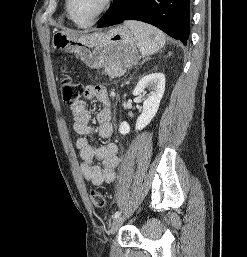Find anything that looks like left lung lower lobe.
I'll return each mask as SVG.
<instances>
[{
	"label": "left lung lower lobe",
	"instance_id": "left-lung-lower-lobe-1",
	"mask_svg": "<svg viewBox=\"0 0 247 257\" xmlns=\"http://www.w3.org/2000/svg\"><path fill=\"white\" fill-rule=\"evenodd\" d=\"M124 20L152 24L186 45L190 33V0H114L97 27Z\"/></svg>",
	"mask_w": 247,
	"mask_h": 257
}]
</instances>
